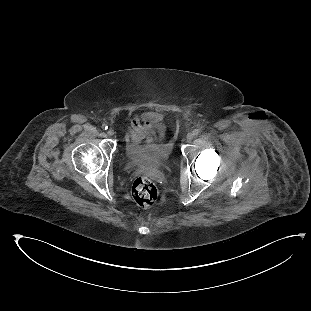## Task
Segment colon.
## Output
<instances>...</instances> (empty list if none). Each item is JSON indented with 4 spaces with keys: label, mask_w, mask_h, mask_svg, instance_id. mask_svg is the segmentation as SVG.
<instances>
[{
    "label": "colon",
    "mask_w": 311,
    "mask_h": 311,
    "mask_svg": "<svg viewBox=\"0 0 311 311\" xmlns=\"http://www.w3.org/2000/svg\"><path fill=\"white\" fill-rule=\"evenodd\" d=\"M132 197L141 209L147 210L157 202V187L149 178L138 177L132 185Z\"/></svg>",
    "instance_id": "5ec220e1"
}]
</instances>
